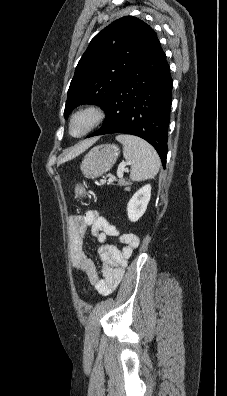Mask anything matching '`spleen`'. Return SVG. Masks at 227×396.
Masks as SVG:
<instances>
[{
  "label": "spleen",
  "mask_w": 227,
  "mask_h": 396,
  "mask_svg": "<svg viewBox=\"0 0 227 396\" xmlns=\"http://www.w3.org/2000/svg\"><path fill=\"white\" fill-rule=\"evenodd\" d=\"M116 140L123 144V156L130 162V178L144 181L154 178L160 168L156 150L145 140L133 135H118Z\"/></svg>",
  "instance_id": "spleen-1"
}]
</instances>
